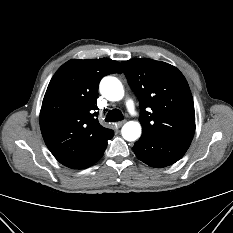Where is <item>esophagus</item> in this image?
<instances>
[{
    "label": "esophagus",
    "instance_id": "esophagus-1",
    "mask_svg": "<svg viewBox=\"0 0 233 233\" xmlns=\"http://www.w3.org/2000/svg\"><path fill=\"white\" fill-rule=\"evenodd\" d=\"M125 122H126L125 120L120 121V122H118V123H117V126H118V127H121L122 125H124V124H125Z\"/></svg>",
    "mask_w": 233,
    "mask_h": 233
}]
</instances>
